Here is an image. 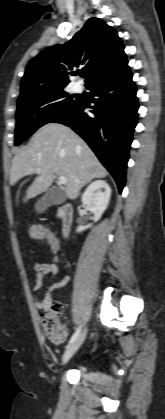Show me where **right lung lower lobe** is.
I'll return each instance as SVG.
<instances>
[{
	"mask_svg": "<svg viewBox=\"0 0 165 419\" xmlns=\"http://www.w3.org/2000/svg\"><path fill=\"white\" fill-rule=\"evenodd\" d=\"M87 88L94 103L89 114L83 111L88 104L80 99L71 111L51 122L69 126L79 134L112 174L122 192L139 108L127 62Z\"/></svg>",
	"mask_w": 165,
	"mask_h": 419,
	"instance_id": "98d812e1",
	"label": "right lung lower lobe"
}]
</instances>
